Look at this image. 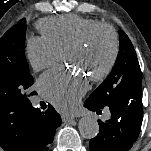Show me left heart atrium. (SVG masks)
<instances>
[{
  "label": "left heart atrium",
  "instance_id": "1",
  "mask_svg": "<svg viewBox=\"0 0 151 151\" xmlns=\"http://www.w3.org/2000/svg\"><path fill=\"white\" fill-rule=\"evenodd\" d=\"M38 84L42 94L62 111L72 109L88 90L85 76L62 68L45 73Z\"/></svg>",
  "mask_w": 151,
  "mask_h": 151
}]
</instances>
